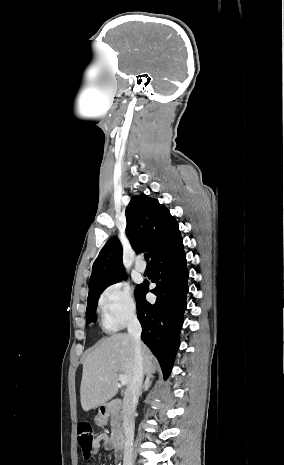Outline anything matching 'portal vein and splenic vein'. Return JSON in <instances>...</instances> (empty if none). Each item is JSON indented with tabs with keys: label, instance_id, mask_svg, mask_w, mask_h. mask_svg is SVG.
Here are the masks:
<instances>
[{
	"label": "portal vein and splenic vein",
	"instance_id": "obj_1",
	"mask_svg": "<svg viewBox=\"0 0 284 465\" xmlns=\"http://www.w3.org/2000/svg\"><path fill=\"white\" fill-rule=\"evenodd\" d=\"M118 377H119V381H120L121 385H127V377H126V375H122V373H119Z\"/></svg>",
	"mask_w": 284,
	"mask_h": 465
}]
</instances>
